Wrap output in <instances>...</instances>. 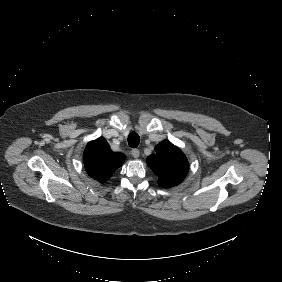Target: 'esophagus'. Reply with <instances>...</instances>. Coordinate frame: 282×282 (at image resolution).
I'll list each match as a JSON object with an SVG mask.
<instances>
[{
	"label": "esophagus",
	"instance_id": "1",
	"mask_svg": "<svg viewBox=\"0 0 282 282\" xmlns=\"http://www.w3.org/2000/svg\"><path fill=\"white\" fill-rule=\"evenodd\" d=\"M131 154H132V156L134 157V158H138L139 157V155H140V152H139V150L138 149H132L131 150Z\"/></svg>",
	"mask_w": 282,
	"mask_h": 282
}]
</instances>
